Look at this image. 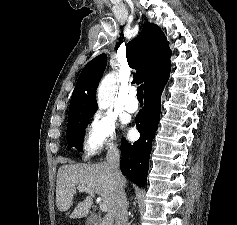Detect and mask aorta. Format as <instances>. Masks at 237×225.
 <instances>
[{"instance_id": "1", "label": "aorta", "mask_w": 237, "mask_h": 225, "mask_svg": "<svg viewBox=\"0 0 237 225\" xmlns=\"http://www.w3.org/2000/svg\"><path fill=\"white\" fill-rule=\"evenodd\" d=\"M115 78L113 74L106 75L99 87L97 93V103L100 109L110 106L114 99Z\"/></svg>"}]
</instances>
